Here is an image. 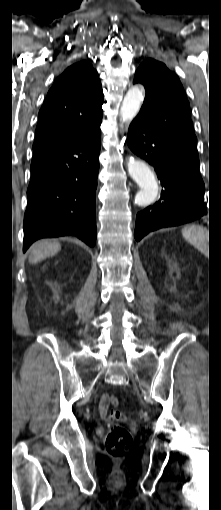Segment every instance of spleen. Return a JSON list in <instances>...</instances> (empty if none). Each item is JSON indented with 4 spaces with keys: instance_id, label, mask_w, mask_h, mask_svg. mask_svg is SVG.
I'll use <instances>...</instances> for the list:
<instances>
[{
    "instance_id": "obj_1",
    "label": "spleen",
    "mask_w": 221,
    "mask_h": 510,
    "mask_svg": "<svg viewBox=\"0 0 221 510\" xmlns=\"http://www.w3.org/2000/svg\"><path fill=\"white\" fill-rule=\"evenodd\" d=\"M182 235L186 241L201 251L203 254L208 253V230L201 226H186L182 229Z\"/></svg>"
}]
</instances>
